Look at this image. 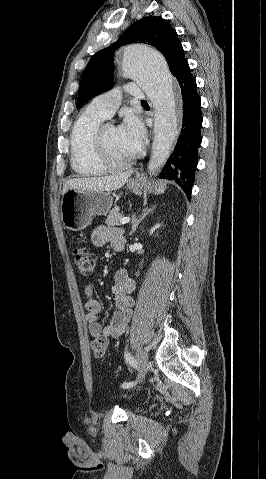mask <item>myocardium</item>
Masks as SVG:
<instances>
[{"label": "myocardium", "instance_id": "obj_1", "mask_svg": "<svg viewBox=\"0 0 266 479\" xmlns=\"http://www.w3.org/2000/svg\"><path fill=\"white\" fill-rule=\"evenodd\" d=\"M104 129L105 127L98 128L95 134V155L97 160L109 171H118L128 167L132 163V158L117 162L110 157L106 146Z\"/></svg>", "mask_w": 266, "mask_h": 479}]
</instances>
